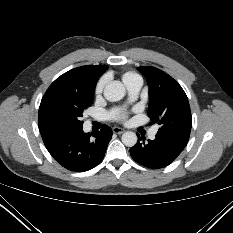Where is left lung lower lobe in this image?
<instances>
[{
	"label": "left lung lower lobe",
	"mask_w": 233,
	"mask_h": 233,
	"mask_svg": "<svg viewBox=\"0 0 233 233\" xmlns=\"http://www.w3.org/2000/svg\"><path fill=\"white\" fill-rule=\"evenodd\" d=\"M138 143L130 149L131 157L139 164L160 169L171 164L187 145V141L156 135L154 140L145 142L138 136Z\"/></svg>",
	"instance_id": "1"
}]
</instances>
